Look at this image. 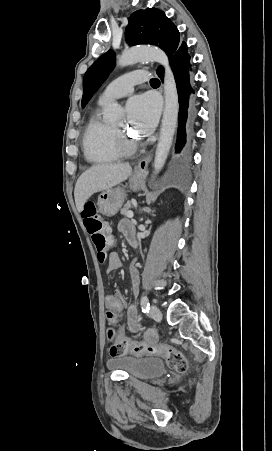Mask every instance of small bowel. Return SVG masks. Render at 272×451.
<instances>
[{"label":"small bowel","instance_id":"c3829d8e","mask_svg":"<svg viewBox=\"0 0 272 451\" xmlns=\"http://www.w3.org/2000/svg\"><path fill=\"white\" fill-rule=\"evenodd\" d=\"M118 231L121 232L126 239L129 241L131 236H135V228L133 223L129 219H123L118 223ZM109 243L114 244L115 238L113 236H109ZM122 262L119 258L118 254L115 252H111L108 256L107 271H113L121 268ZM130 282L132 292L136 294L139 289L140 284V275L139 269L136 264H132L130 267ZM126 309V322L130 332L136 333L140 330V319L137 314L136 308L133 305H128L125 298L121 294L120 291H115L113 294L108 295L107 297V317L115 321L119 315V313ZM124 332H121V339H124ZM120 339V340H121ZM146 340L150 343L157 342V335L153 332H148L146 334Z\"/></svg>","mask_w":272,"mask_h":451}]
</instances>
